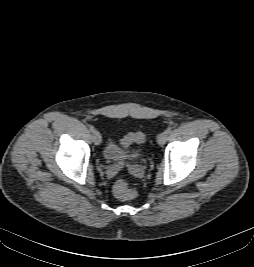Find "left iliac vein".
I'll return each instance as SVG.
<instances>
[{
	"mask_svg": "<svg viewBox=\"0 0 254 267\" xmlns=\"http://www.w3.org/2000/svg\"><path fill=\"white\" fill-rule=\"evenodd\" d=\"M167 136L168 134L166 132H162L161 134H159L157 137V143L159 145H164L167 140Z\"/></svg>",
	"mask_w": 254,
	"mask_h": 267,
	"instance_id": "left-iliac-vein-1",
	"label": "left iliac vein"
}]
</instances>
